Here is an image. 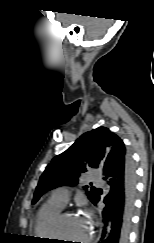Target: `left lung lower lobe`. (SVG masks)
Listing matches in <instances>:
<instances>
[{
	"label": "left lung lower lobe",
	"mask_w": 154,
	"mask_h": 243,
	"mask_svg": "<svg viewBox=\"0 0 154 243\" xmlns=\"http://www.w3.org/2000/svg\"><path fill=\"white\" fill-rule=\"evenodd\" d=\"M103 179L108 193L101 205L103 231L99 243H127L135 199V168L129 153L119 150L109 155L103 167ZM103 191L98 189L92 203L97 205Z\"/></svg>",
	"instance_id": "1"
}]
</instances>
